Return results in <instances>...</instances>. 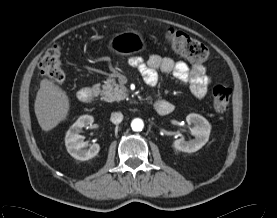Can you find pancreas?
I'll use <instances>...</instances> for the list:
<instances>
[{
  "mask_svg": "<svg viewBox=\"0 0 277 218\" xmlns=\"http://www.w3.org/2000/svg\"><path fill=\"white\" fill-rule=\"evenodd\" d=\"M94 89H100V85L96 84L93 86ZM100 94L105 101H121L128 97L127 89L125 86L118 85L115 80L108 79L102 85Z\"/></svg>",
  "mask_w": 277,
  "mask_h": 218,
  "instance_id": "obj_1",
  "label": "pancreas"
}]
</instances>
